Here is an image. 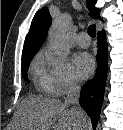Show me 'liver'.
I'll return each instance as SVG.
<instances>
[{"mask_svg": "<svg viewBox=\"0 0 123 130\" xmlns=\"http://www.w3.org/2000/svg\"><path fill=\"white\" fill-rule=\"evenodd\" d=\"M83 110L68 109L56 98L28 96L21 100L8 130H84Z\"/></svg>", "mask_w": 123, "mask_h": 130, "instance_id": "6515ba94", "label": "liver"}]
</instances>
